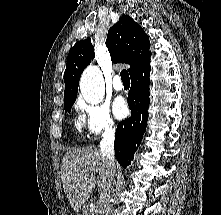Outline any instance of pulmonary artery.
I'll list each match as a JSON object with an SVG mask.
<instances>
[{
    "label": "pulmonary artery",
    "mask_w": 221,
    "mask_h": 215,
    "mask_svg": "<svg viewBox=\"0 0 221 215\" xmlns=\"http://www.w3.org/2000/svg\"><path fill=\"white\" fill-rule=\"evenodd\" d=\"M112 86L117 91H121L123 89L124 85L119 75L114 76Z\"/></svg>",
    "instance_id": "1"
}]
</instances>
